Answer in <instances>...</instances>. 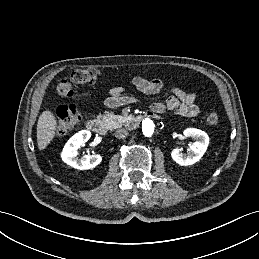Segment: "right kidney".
Masks as SVG:
<instances>
[{
  "instance_id": "ca27d5eb",
  "label": "right kidney",
  "mask_w": 259,
  "mask_h": 259,
  "mask_svg": "<svg viewBox=\"0 0 259 259\" xmlns=\"http://www.w3.org/2000/svg\"><path fill=\"white\" fill-rule=\"evenodd\" d=\"M91 137V132L88 130H81L74 134L65 144L61 153L62 160L79 170L92 169L101 163L102 157L99 154L84 155L81 159L77 157V150L87 142Z\"/></svg>"
}]
</instances>
